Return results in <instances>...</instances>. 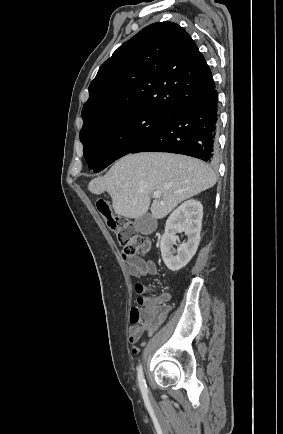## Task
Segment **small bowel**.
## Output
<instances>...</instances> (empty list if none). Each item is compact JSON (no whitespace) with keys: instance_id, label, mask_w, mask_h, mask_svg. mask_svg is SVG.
Returning a JSON list of instances; mask_svg holds the SVG:
<instances>
[{"instance_id":"small-bowel-1","label":"small bowel","mask_w":283,"mask_h":434,"mask_svg":"<svg viewBox=\"0 0 283 434\" xmlns=\"http://www.w3.org/2000/svg\"><path fill=\"white\" fill-rule=\"evenodd\" d=\"M125 262L127 263L128 270L131 276L136 278H144L150 275H154L157 272L156 262L152 259L145 260L139 256H127L123 255ZM144 327L139 325H132L129 328L128 340L131 344L137 343L143 332ZM138 352L137 347H133L132 353L136 354Z\"/></svg>"}]
</instances>
